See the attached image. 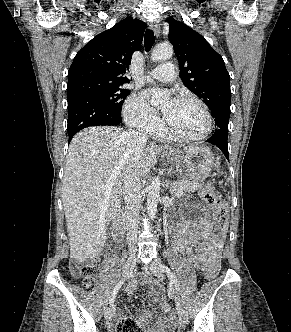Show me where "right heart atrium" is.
<instances>
[{"instance_id": "obj_1", "label": "right heart atrium", "mask_w": 291, "mask_h": 332, "mask_svg": "<svg viewBox=\"0 0 291 332\" xmlns=\"http://www.w3.org/2000/svg\"><path fill=\"white\" fill-rule=\"evenodd\" d=\"M123 114L126 123L130 127L145 133H153L159 130L161 126L160 120L154 111L138 94H132L127 99Z\"/></svg>"}]
</instances>
